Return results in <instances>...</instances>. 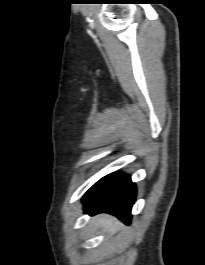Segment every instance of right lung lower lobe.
Here are the masks:
<instances>
[{"label": "right lung lower lobe", "instance_id": "obj_1", "mask_svg": "<svg viewBox=\"0 0 205 265\" xmlns=\"http://www.w3.org/2000/svg\"><path fill=\"white\" fill-rule=\"evenodd\" d=\"M136 196L129 175L114 172L95 183L83 196L84 211L91 215L106 212L129 224Z\"/></svg>", "mask_w": 205, "mask_h": 265}]
</instances>
